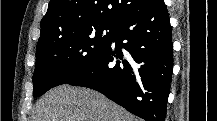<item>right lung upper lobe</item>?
I'll return each instance as SVG.
<instances>
[{
  "mask_svg": "<svg viewBox=\"0 0 217 121\" xmlns=\"http://www.w3.org/2000/svg\"><path fill=\"white\" fill-rule=\"evenodd\" d=\"M148 0H50L37 47L99 23L118 24Z\"/></svg>",
  "mask_w": 217,
  "mask_h": 121,
  "instance_id": "obj_1",
  "label": "right lung upper lobe"
}]
</instances>
